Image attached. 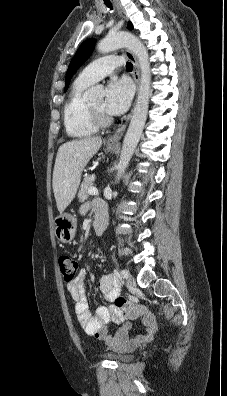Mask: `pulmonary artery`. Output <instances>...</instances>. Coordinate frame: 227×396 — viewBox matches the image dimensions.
Segmentation results:
<instances>
[{
    "instance_id": "e3ab8cb5",
    "label": "pulmonary artery",
    "mask_w": 227,
    "mask_h": 396,
    "mask_svg": "<svg viewBox=\"0 0 227 396\" xmlns=\"http://www.w3.org/2000/svg\"><path fill=\"white\" fill-rule=\"evenodd\" d=\"M124 62L121 56H105L87 65L79 75V79L90 84L113 72Z\"/></svg>"
}]
</instances>
